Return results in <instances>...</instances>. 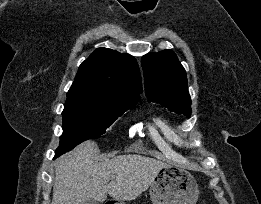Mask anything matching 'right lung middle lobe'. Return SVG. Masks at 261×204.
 I'll list each match as a JSON object with an SVG mask.
<instances>
[{"mask_svg":"<svg viewBox=\"0 0 261 204\" xmlns=\"http://www.w3.org/2000/svg\"><path fill=\"white\" fill-rule=\"evenodd\" d=\"M137 104H104L87 96L67 97L63 116V134L56 153L61 155L81 142L98 138L124 112Z\"/></svg>","mask_w":261,"mask_h":204,"instance_id":"dd1d6c3e","label":"right lung middle lobe"}]
</instances>
